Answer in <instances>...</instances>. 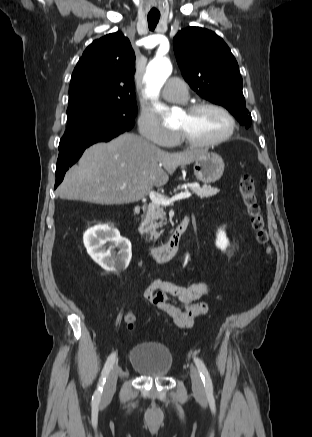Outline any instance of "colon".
Wrapping results in <instances>:
<instances>
[{"label":"colon","mask_w":312,"mask_h":437,"mask_svg":"<svg viewBox=\"0 0 312 437\" xmlns=\"http://www.w3.org/2000/svg\"><path fill=\"white\" fill-rule=\"evenodd\" d=\"M239 190L250 218L251 226L256 234V239L261 245L265 246L267 253L270 255L272 250L269 246V236L265 229L264 219L255 194V185L252 174L245 172L241 175L239 180ZM124 323L129 331L135 329L136 314L134 311L130 310L125 314Z\"/></svg>","instance_id":"5ec220e1"}]
</instances>
